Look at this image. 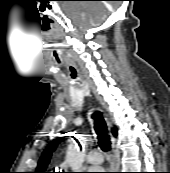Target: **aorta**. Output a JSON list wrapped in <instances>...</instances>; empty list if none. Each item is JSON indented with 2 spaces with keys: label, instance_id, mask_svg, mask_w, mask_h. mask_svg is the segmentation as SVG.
<instances>
[{
  "label": "aorta",
  "instance_id": "aorta-1",
  "mask_svg": "<svg viewBox=\"0 0 170 173\" xmlns=\"http://www.w3.org/2000/svg\"><path fill=\"white\" fill-rule=\"evenodd\" d=\"M67 161L73 170V172H78L84 162V154L76 149H71L67 153Z\"/></svg>",
  "mask_w": 170,
  "mask_h": 173
}]
</instances>
